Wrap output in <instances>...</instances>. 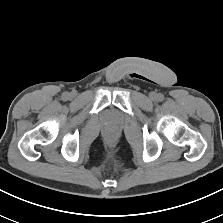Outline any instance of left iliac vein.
I'll return each mask as SVG.
<instances>
[{
	"label": "left iliac vein",
	"instance_id": "4c4485c4",
	"mask_svg": "<svg viewBox=\"0 0 223 223\" xmlns=\"http://www.w3.org/2000/svg\"><path fill=\"white\" fill-rule=\"evenodd\" d=\"M149 97H150L151 100H155L156 97H157V94H156L155 92H151V93L149 94Z\"/></svg>",
	"mask_w": 223,
	"mask_h": 223
}]
</instances>
